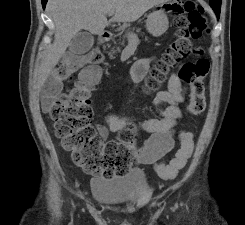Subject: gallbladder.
<instances>
[{"mask_svg": "<svg viewBox=\"0 0 245 225\" xmlns=\"http://www.w3.org/2000/svg\"><path fill=\"white\" fill-rule=\"evenodd\" d=\"M94 44V37L87 31H79L70 41L69 51L76 55L88 52Z\"/></svg>", "mask_w": 245, "mask_h": 225, "instance_id": "1", "label": "gallbladder"}]
</instances>
